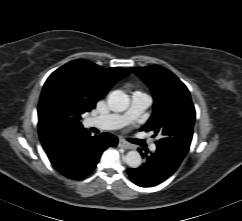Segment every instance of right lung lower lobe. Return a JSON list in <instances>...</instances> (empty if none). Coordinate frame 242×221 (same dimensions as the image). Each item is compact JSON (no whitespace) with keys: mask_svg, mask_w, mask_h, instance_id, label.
I'll use <instances>...</instances> for the list:
<instances>
[{"mask_svg":"<svg viewBox=\"0 0 242 221\" xmlns=\"http://www.w3.org/2000/svg\"><path fill=\"white\" fill-rule=\"evenodd\" d=\"M117 143V137L109 133L92 137L87 130H83L61 139L45 151L52 165L62 175L79 179L96 167L104 150Z\"/></svg>","mask_w":242,"mask_h":221,"instance_id":"right-lung-lower-lobe-1","label":"right lung lower lobe"}]
</instances>
